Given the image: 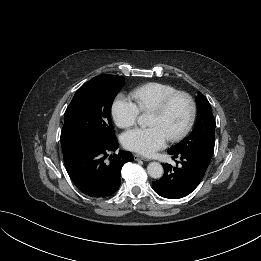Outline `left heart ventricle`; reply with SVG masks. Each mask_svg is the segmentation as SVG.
I'll return each instance as SVG.
<instances>
[{
  "label": "left heart ventricle",
  "mask_w": 261,
  "mask_h": 261,
  "mask_svg": "<svg viewBox=\"0 0 261 261\" xmlns=\"http://www.w3.org/2000/svg\"><path fill=\"white\" fill-rule=\"evenodd\" d=\"M188 116L189 104L184 98H179L164 115L151 113L149 124L160 126L170 137L185 126Z\"/></svg>",
  "instance_id": "obj_1"
}]
</instances>
